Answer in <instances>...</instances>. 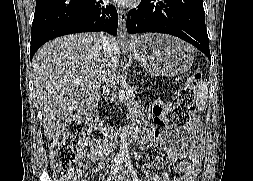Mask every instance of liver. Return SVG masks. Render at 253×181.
Instances as JSON below:
<instances>
[{"instance_id": "6515ba94", "label": "liver", "mask_w": 253, "mask_h": 181, "mask_svg": "<svg viewBox=\"0 0 253 181\" xmlns=\"http://www.w3.org/2000/svg\"><path fill=\"white\" fill-rule=\"evenodd\" d=\"M105 57L98 33L72 34L43 45L32 60L34 91L43 113L44 134L51 140L90 92L114 76L120 42ZM79 81V83H76Z\"/></svg>"}]
</instances>
